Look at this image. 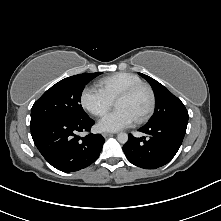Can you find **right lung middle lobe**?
<instances>
[{"label": "right lung middle lobe", "mask_w": 221, "mask_h": 221, "mask_svg": "<svg viewBox=\"0 0 221 221\" xmlns=\"http://www.w3.org/2000/svg\"><path fill=\"white\" fill-rule=\"evenodd\" d=\"M100 74L101 72L74 75L53 85L32 106L31 122L53 117H87L80 105L81 94L85 85Z\"/></svg>", "instance_id": "right-lung-middle-lobe-1"}]
</instances>
